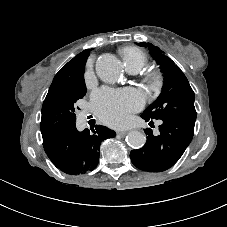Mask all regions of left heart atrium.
Returning <instances> with one entry per match:
<instances>
[{
	"instance_id": "obj_1",
	"label": "left heart atrium",
	"mask_w": 227,
	"mask_h": 227,
	"mask_svg": "<svg viewBox=\"0 0 227 227\" xmlns=\"http://www.w3.org/2000/svg\"><path fill=\"white\" fill-rule=\"evenodd\" d=\"M144 97L134 90H97L92 96V105L97 116L106 124L121 126L130 113L139 110Z\"/></svg>"
}]
</instances>
